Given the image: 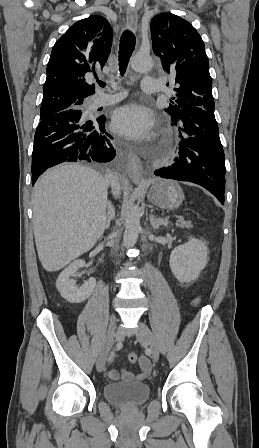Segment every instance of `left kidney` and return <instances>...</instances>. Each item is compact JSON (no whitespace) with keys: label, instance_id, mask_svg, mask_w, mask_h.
<instances>
[{"label":"left kidney","instance_id":"obj_1","mask_svg":"<svg viewBox=\"0 0 259 448\" xmlns=\"http://www.w3.org/2000/svg\"><path fill=\"white\" fill-rule=\"evenodd\" d=\"M208 248L196 238H190L183 246H177L170 254V268L178 282L187 284L197 280L207 264Z\"/></svg>","mask_w":259,"mask_h":448}]
</instances>
